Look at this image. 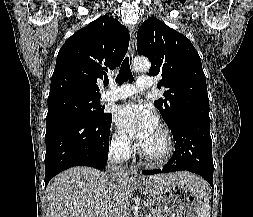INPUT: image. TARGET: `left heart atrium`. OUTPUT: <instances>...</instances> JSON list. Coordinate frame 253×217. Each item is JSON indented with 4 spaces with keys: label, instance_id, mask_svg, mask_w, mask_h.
Instances as JSON below:
<instances>
[{
    "label": "left heart atrium",
    "instance_id": "39dd6f15",
    "mask_svg": "<svg viewBox=\"0 0 253 217\" xmlns=\"http://www.w3.org/2000/svg\"><path fill=\"white\" fill-rule=\"evenodd\" d=\"M115 123L123 132L141 146L159 127L157 115L146 105L136 102L125 103L115 115Z\"/></svg>",
    "mask_w": 253,
    "mask_h": 217
}]
</instances>
